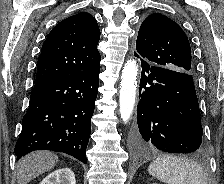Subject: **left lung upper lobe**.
Instances as JSON below:
<instances>
[{
  "label": "left lung upper lobe",
  "instance_id": "1",
  "mask_svg": "<svg viewBox=\"0 0 224 184\" xmlns=\"http://www.w3.org/2000/svg\"><path fill=\"white\" fill-rule=\"evenodd\" d=\"M135 56L149 65L192 74L191 48L182 28L161 14L149 15L141 24Z\"/></svg>",
  "mask_w": 224,
  "mask_h": 184
}]
</instances>
